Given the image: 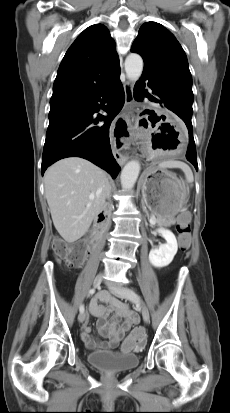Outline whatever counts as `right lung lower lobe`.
<instances>
[{
	"instance_id": "right-lung-lower-lobe-1",
	"label": "right lung lower lobe",
	"mask_w": 230,
	"mask_h": 413,
	"mask_svg": "<svg viewBox=\"0 0 230 413\" xmlns=\"http://www.w3.org/2000/svg\"><path fill=\"white\" fill-rule=\"evenodd\" d=\"M119 76L87 98L50 105L49 126L42 155V176L54 162L76 156L93 162L113 178L117 177L120 167L111 151L109 127L125 101ZM100 109H104L108 116L95 118L94 113ZM99 121L105 123L97 126Z\"/></svg>"
}]
</instances>
